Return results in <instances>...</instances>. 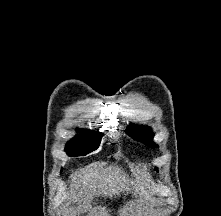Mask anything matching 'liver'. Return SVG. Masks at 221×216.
I'll use <instances>...</instances> for the list:
<instances>
[{
  "label": "liver",
  "instance_id": "liver-1",
  "mask_svg": "<svg viewBox=\"0 0 221 216\" xmlns=\"http://www.w3.org/2000/svg\"><path fill=\"white\" fill-rule=\"evenodd\" d=\"M129 185H132L135 192L140 190V196L145 194L143 186L133 184V182L129 184L128 181H125V176L119 174L117 168L108 170L104 169L102 164L94 163L72 175L71 199L73 202H77L80 198L91 197L92 194H95L96 189L100 194L112 197L120 195V192L126 191L128 193Z\"/></svg>",
  "mask_w": 221,
  "mask_h": 216
}]
</instances>
